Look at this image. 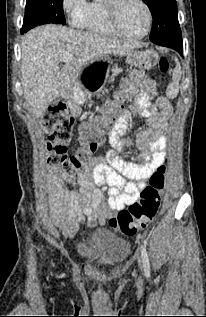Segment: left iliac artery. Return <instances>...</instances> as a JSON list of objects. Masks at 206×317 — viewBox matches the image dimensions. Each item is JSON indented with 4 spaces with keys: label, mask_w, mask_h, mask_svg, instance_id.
Segmentation results:
<instances>
[{
    "label": "left iliac artery",
    "mask_w": 206,
    "mask_h": 317,
    "mask_svg": "<svg viewBox=\"0 0 206 317\" xmlns=\"http://www.w3.org/2000/svg\"><path fill=\"white\" fill-rule=\"evenodd\" d=\"M141 255L144 263V271L146 276H150V263H149V257L146 250V247L144 245L141 246Z\"/></svg>",
    "instance_id": "1"
}]
</instances>
